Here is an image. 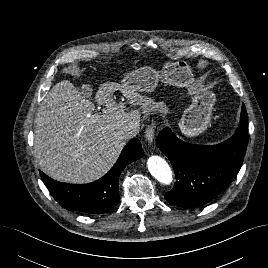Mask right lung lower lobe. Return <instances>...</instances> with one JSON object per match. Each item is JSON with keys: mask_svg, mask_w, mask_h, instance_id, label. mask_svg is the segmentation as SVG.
<instances>
[{"mask_svg": "<svg viewBox=\"0 0 268 268\" xmlns=\"http://www.w3.org/2000/svg\"><path fill=\"white\" fill-rule=\"evenodd\" d=\"M144 156L141 143L132 139L122 150L117 162L102 178L89 184H68L40 176L54 199L65 209L88 214H101L119 203L118 180L121 171Z\"/></svg>", "mask_w": 268, "mask_h": 268, "instance_id": "obj_1", "label": "right lung lower lobe"}]
</instances>
